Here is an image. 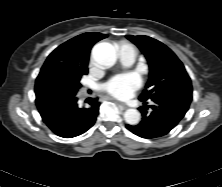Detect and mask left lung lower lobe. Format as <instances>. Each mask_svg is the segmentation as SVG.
I'll return each mask as SVG.
<instances>
[{"label": "left lung lower lobe", "mask_w": 222, "mask_h": 187, "mask_svg": "<svg viewBox=\"0 0 222 187\" xmlns=\"http://www.w3.org/2000/svg\"><path fill=\"white\" fill-rule=\"evenodd\" d=\"M192 100V88H181L158 95L152 101V111L148 106L140 108L142 121L136 125H126L132 133L146 139L168 134L184 117ZM146 104V102H145Z\"/></svg>", "instance_id": "1"}]
</instances>
